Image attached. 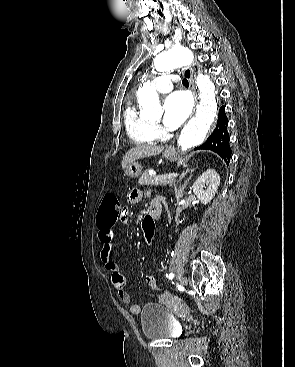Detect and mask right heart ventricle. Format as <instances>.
Segmentation results:
<instances>
[{"label": "right heart ventricle", "mask_w": 295, "mask_h": 367, "mask_svg": "<svg viewBox=\"0 0 295 367\" xmlns=\"http://www.w3.org/2000/svg\"><path fill=\"white\" fill-rule=\"evenodd\" d=\"M124 124L128 136L136 144H151L158 138L154 125L140 114L133 103H129L124 111Z\"/></svg>", "instance_id": "1"}]
</instances>
